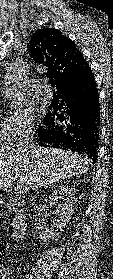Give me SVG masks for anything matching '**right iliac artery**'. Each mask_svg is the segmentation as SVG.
<instances>
[{
    "mask_svg": "<svg viewBox=\"0 0 113 279\" xmlns=\"http://www.w3.org/2000/svg\"><path fill=\"white\" fill-rule=\"evenodd\" d=\"M32 277L31 276H29L28 274L27 275H25V278L24 279H31Z\"/></svg>",
    "mask_w": 113,
    "mask_h": 279,
    "instance_id": "1",
    "label": "right iliac artery"
}]
</instances>
